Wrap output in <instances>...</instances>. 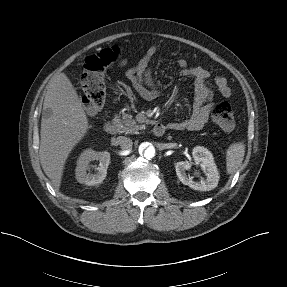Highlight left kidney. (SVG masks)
I'll return each instance as SVG.
<instances>
[{
	"label": "left kidney",
	"instance_id": "obj_1",
	"mask_svg": "<svg viewBox=\"0 0 287 287\" xmlns=\"http://www.w3.org/2000/svg\"><path fill=\"white\" fill-rule=\"evenodd\" d=\"M192 155L195 163L207 171L206 179L200 182L193 181V178L186 174V170L191 167L190 163L181 161L175 164L176 174L179 180L184 185H188L190 188L198 191H210L216 188L219 181V173L214 163L212 153L202 146H196L193 149Z\"/></svg>",
	"mask_w": 287,
	"mask_h": 287
}]
</instances>
